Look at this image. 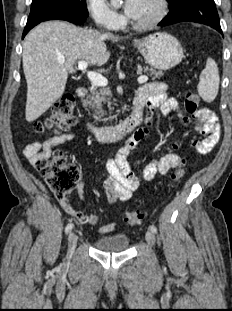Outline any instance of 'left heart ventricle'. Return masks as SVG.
Segmentation results:
<instances>
[{
    "label": "left heart ventricle",
    "mask_w": 232,
    "mask_h": 311,
    "mask_svg": "<svg viewBox=\"0 0 232 311\" xmlns=\"http://www.w3.org/2000/svg\"><path fill=\"white\" fill-rule=\"evenodd\" d=\"M156 9L157 5L155 0H143L138 14L131 19L137 23L146 22L154 16Z\"/></svg>",
    "instance_id": "obj_1"
}]
</instances>
